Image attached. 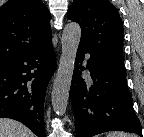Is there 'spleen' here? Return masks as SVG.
Returning a JSON list of instances; mask_svg holds the SVG:
<instances>
[{
	"label": "spleen",
	"instance_id": "obj_1",
	"mask_svg": "<svg viewBox=\"0 0 144 137\" xmlns=\"http://www.w3.org/2000/svg\"><path fill=\"white\" fill-rule=\"evenodd\" d=\"M107 137H135V136L125 132L113 131L109 132L107 134Z\"/></svg>",
	"mask_w": 144,
	"mask_h": 137
}]
</instances>
